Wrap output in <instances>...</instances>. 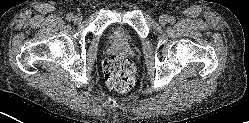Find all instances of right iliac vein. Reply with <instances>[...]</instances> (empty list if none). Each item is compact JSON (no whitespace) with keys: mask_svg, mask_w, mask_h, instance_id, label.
<instances>
[{"mask_svg":"<svg viewBox=\"0 0 249 123\" xmlns=\"http://www.w3.org/2000/svg\"><path fill=\"white\" fill-rule=\"evenodd\" d=\"M74 22H76V23H80L81 21H82V16L80 15V14H78V15H76L75 17H74Z\"/></svg>","mask_w":249,"mask_h":123,"instance_id":"obj_1","label":"right iliac vein"}]
</instances>
